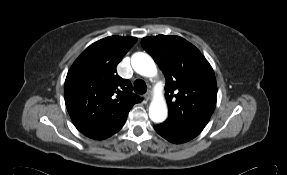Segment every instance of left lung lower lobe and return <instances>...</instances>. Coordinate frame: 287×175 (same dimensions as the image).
Wrapping results in <instances>:
<instances>
[{
	"mask_svg": "<svg viewBox=\"0 0 287 175\" xmlns=\"http://www.w3.org/2000/svg\"><path fill=\"white\" fill-rule=\"evenodd\" d=\"M154 129L159 135L172 143L179 144L191 140L189 137L175 131L174 129L166 126L163 123L154 126Z\"/></svg>",
	"mask_w": 287,
	"mask_h": 175,
	"instance_id": "obj_1",
	"label": "left lung lower lobe"
}]
</instances>
